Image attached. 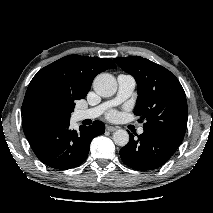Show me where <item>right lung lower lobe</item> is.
Returning a JSON list of instances; mask_svg holds the SVG:
<instances>
[{"mask_svg":"<svg viewBox=\"0 0 213 213\" xmlns=\"http://www.w3.org/2000/svg\"><path fill=\"white\" fill-rule=\"evenodd\" d=\"M69 121H52L33 116H23L22 126L35 155L54 169L74 168L85 161L92 139L105 132L101 121L79 131L69 128Z\"/></svg>","mask_w":213,"mask_h":213,"instance_id":"1","label":"right lung lower lobe"}]
</instances>
